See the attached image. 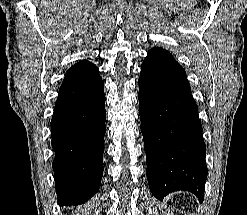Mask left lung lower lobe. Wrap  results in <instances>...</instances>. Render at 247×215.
Here are the masks:
<instances>
[{"instance_id":"left-lung-lower-lobe-1","label":"left lung lower lobe","mask_w":247,"mask_h":215,"mask_svg":"<svg viewBox=\"0 0 247 215\" xmlns=\"http://www.w3.org/2000/svg\"><path fill=\"white\" fill-rule=\"evenodd\" d=\"M141 132L152 194L186 190L204 199L206 146L185 70L162 48L149 50L139 79Z\"/></svg>"}]
</instances>
